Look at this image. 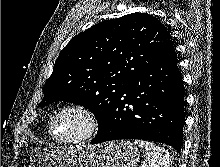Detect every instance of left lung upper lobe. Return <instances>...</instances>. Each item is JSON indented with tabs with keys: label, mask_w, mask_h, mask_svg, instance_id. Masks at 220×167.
<instances>
[{
	"label": "left lung upper lobe",
	"mask_w": 220,
	"mask_h": 167,
	"mask_svg": "<svg viewBox=\"0 0 220 167\" xmlns=\"http://www.w3.org/2000/svg\"><path fill=\"white\" fill-rule=\"evenodd\" d=\"M174 52L172 37L145 13L102 21L60 52L38 107L66 101L88 108L99 130L129 80Z\"/></svg>",
	"instance_id": "5c2ea615"
}]
</instances>
